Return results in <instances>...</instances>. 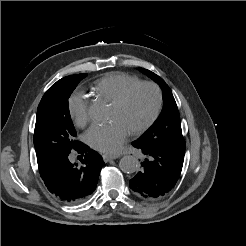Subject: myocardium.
Masks as SVG:
<instances>
[{
    "label": "myocardium",
    "instance_id": "obj_1",
    "mask_svg": "<svg viewBox=\"0 0 246 246\" xmlns=\"http://www.w3.org/2000/svg\"><path fill=\"white\" fill-rule=\"evenodd\" d=\"M141 87H150L152 88L155 93H156V107L155 110L153 112V114L151 115V117L140 127L133 129L130 131V133L132 135H141L144 132H146L158 119L161 111H162V107H163V93L161 88L153 82L150 81H140L130 87H128L126 90H124L119 97H117L114 101H113V105L115 106H123L128 99L130 98V96L139 88Z\"/></svg>",
    "mask_w": 246,
    "mask_h": 246
}]
</instances>
